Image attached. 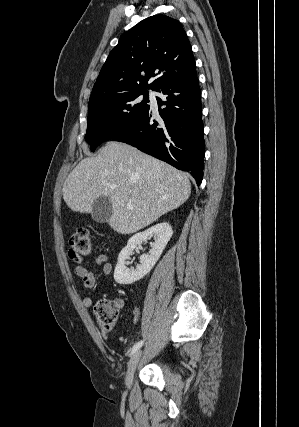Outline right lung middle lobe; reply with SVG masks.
I'll return each mask as SVG.
<instances>
[{"label":"right lung middle lobe","mask_w":299,"mask_h":427,"mask_svg":"<svg viewBox=\"0 0 299 427\" xmlns=\"http://www.w3.org/2000/svg\"><path fill=\"white\" fill-rule=\"evenodd\" d=\"M148 102V92L134 91L90 104L85 140L91 150L94 151L102 142L113 139L134 125L150 108Z\"/></svg>","instance_id":"right-lung-middle-lobe-1"}]
</instances>
